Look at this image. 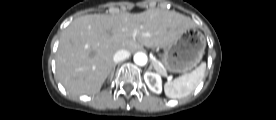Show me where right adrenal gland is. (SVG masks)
Segmentation results:
<instances>
[{"mask_svg":"<svg viewBox=\"0 0 276 120\" xmlns=\"http://www.w3.org/2000/svg\"><path fill=\"white\" fill-rule=\"evenodd\" d=\"M116 65H117V63H115V64L113 65V69H112V71H111V79L113 78V75H114V71H115Z\"/></svg>","mask_w":276,"mask_h":120,"instance_id":"1","label":"right adrenal gland"}]
</instances>
